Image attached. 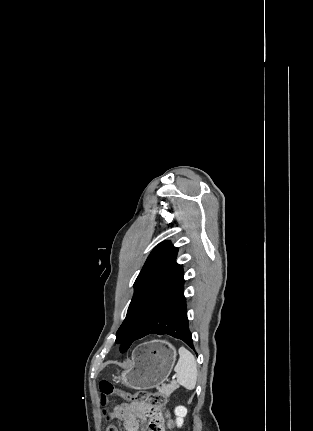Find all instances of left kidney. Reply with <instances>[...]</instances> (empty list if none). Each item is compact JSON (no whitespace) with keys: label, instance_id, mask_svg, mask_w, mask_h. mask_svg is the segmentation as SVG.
<instances>
[{"label":"left kidney","instance_id":"obj_1","mask_svg":"<svg viewBox=\"0 0 313 431\" xmlns=\"http://www.w3.org/2000/svg\"><path fill=\"white\" fill-rule=\"evenodd\" d=\"M174 413L176 415L177 427H181L184 422V417L187 415V408L184 406H178L175 408Z\"/></svg>","mask_w":313,"mask_h":431}]
</instances>
